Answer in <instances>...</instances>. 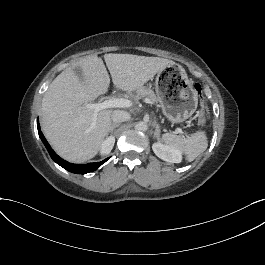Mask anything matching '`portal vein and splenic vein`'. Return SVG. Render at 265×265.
<instances>
[{"mask_svg":"<svg viewBox=\"0 0 265 265\" xmlns=\"http://www.w3.org/2000/svg\"><path fill=\"white\" fill-rule=\"evenodd\" d=\"M145 103H152L150 99L145 98ZM84 106L87 109L94 110L93 117L96 118L99 111L107 108H128L132 106V102L128 99L120 98V99H109L105 100L102 103L90 104L85 103Z\"/></svg>","mask_w":265,"mask_h":265,"instance_id":"portal-vein-and-splenic-vein-1","label":"portal vein and splenic vein"}]
</instances>
